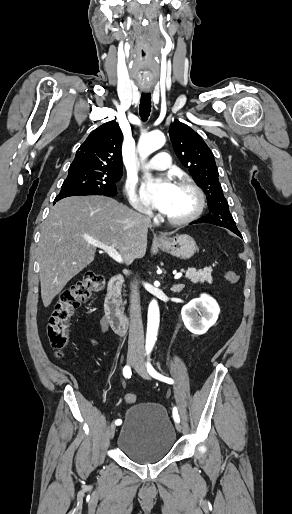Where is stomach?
<instances>
[{
  "instance_id": "stomach-1",
  "label": "stomach",
  "mask_w": 292,
  "mask_h": 514,
  "mask_svg": "<svg viewBox=\"0 0 292 514\" xmlns=\"http://www.w3.org/2000/svg\"><path fill=\"white\" fill-rule=\"evenodd\" d=\"M159 248L175 258L180 260H188L192 258L196 252V242L187 236V234H181V236H174V238H166L165 242H158Z\"/></svg>"
}]
</instances>
